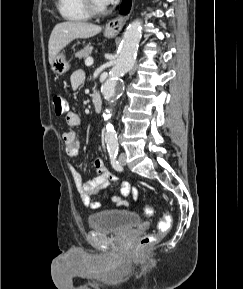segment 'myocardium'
<instances>
[{
  "label": "myocardium",
  "mask_w": 243,
  "mask_h": 289,
  "mask_svg": "<svg viewBox=\"0 0 243 289\" xmlns=\"http://www.w3.org/2000/svg\"><path fill=\"white\" fill-rule=\"evenodd\" d=\"M84 7L89 15L100 16L106 13L107 8L105 6H97L94 0H83Z\"/></svg>",
  "instance_id": "obj_1"
}]
</instances>
